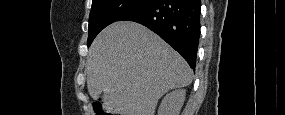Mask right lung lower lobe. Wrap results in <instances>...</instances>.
I'll return each instance as SVG.
<instances>
[{"mask_svg": "<svg viewBox=\"0 0 285 115\" xmlns=\"http://www.w3.org/2000/svg\"><path fill=\"white\" fill-rule=\"evenodd\" d=\"M200 7V0H150L118 21H134L146 26L195 69L200 37Z\"/></svg>", "mask_w": 285, "mask_h": 115, "instance_id": "obj_1", "label": "right lung lower lobe"}]
</instances>
